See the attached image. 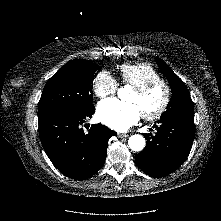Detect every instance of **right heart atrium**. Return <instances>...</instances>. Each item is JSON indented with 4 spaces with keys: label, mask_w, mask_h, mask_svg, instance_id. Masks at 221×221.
Masks as SVG:
<instances>
[{
    "label": "right heart atrium",
    "mask_w": 221,
    "mask_h": 221,
    "mask_svg": "<svg viewBox=\"0 0 221 221\" xmlns=\"http://www.w3.org/2000/svg\"><path fill=\"white\" fill-rule=\"evenodd\" d=\"M118 88V82L108 71L102 70L97 73L93 81V91L99 98L113 95Z\"/></svg>",
    "instance_id": "1"
}]
</instances>
